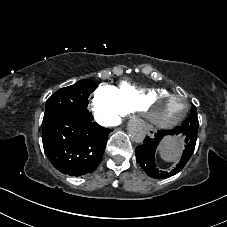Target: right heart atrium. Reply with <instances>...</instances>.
Masks as SVG:
<instances>
[{
  "label": "right heart atrium",
  "mask_w": 227,
  "mask_h": 227,
  "mask_svg": "<svg viewBox=\"0 0 227 227\" xmlns=\"http://www.w3.org/2000/svg\"><path fill=\"white\" fill-rule=\"evenodd\" d=\"M91 107L96 121L105 127L118 126L128 114L117 88L108 83L100 84L95 90Z\"/></svg>",
  "instance_id": "right-heart-atrium-1"
}]
</instances>
